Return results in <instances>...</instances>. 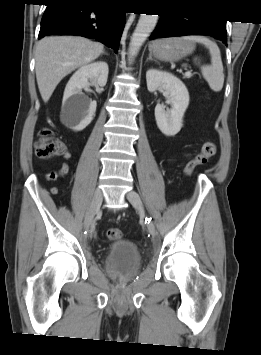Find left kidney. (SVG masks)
<instances>
[{
	"instance_id": "left-kidney-1",
	"label": "left kidney",
	"mask_w": 261,
	"mask_h": 355,
	"mask_svg": "<svg viewBox=\"0 0 261 355\" xmlns=\"http://www.w3.org/2000/svg\"><path fill=\"white\" fill-rule=\"evenodd\" d=\"M147 89L154 92L163 89L167 102L171 104L170 110L164 105L155 107V119L158 128L166 136H175L183 126V116L189 105V93L184 83L171 73L149 69L146 72Z\"/></svg>"
}]
</instances>
